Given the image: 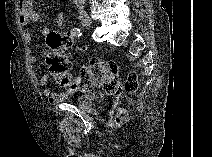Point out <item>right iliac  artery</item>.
I'll return each mask as SVG.
<instances>
[{
	"label": "right iliac artery",
	"mask_w": 212,
	"mask_h": 157,
	"mask_svg": "<svg viewBox=\"0 0 212 157\" xmlns=\"http://www.w3.org/2000/svg\"><path fill=\"white\" fill-rule=\"evenodd\" d=\"M71 33L75 37H80L82 35V32H81V30L79 28H73L71 30Z\"/></svg>",
	"instance_id": "1"
}]
</instances>
